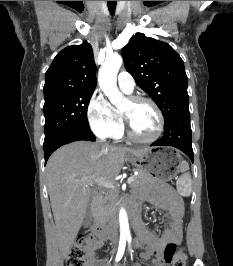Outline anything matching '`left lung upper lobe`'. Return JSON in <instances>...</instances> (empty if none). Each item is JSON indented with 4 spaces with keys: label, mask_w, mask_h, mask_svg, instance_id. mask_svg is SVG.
Listing matches in <instances>:
<instances>
[{
    "label": "left lung upper lobe",
    "mask_w": 233,
    "mask_h": 266,
    "mask_svg": "<svg viewBox=\"0 0 233 266\" xmlns=\"http://www.w3.org/2000/svg\"><path fill=\"white\" fill-rule=\"evenodd\" d=\"M122 57L138 86L162 111L165 122L189 106L184 63L170 45L137 33L122 49Z\"/></svg>",
    "instance_id": "5c2ea615"
}]
</instances>
